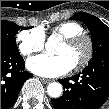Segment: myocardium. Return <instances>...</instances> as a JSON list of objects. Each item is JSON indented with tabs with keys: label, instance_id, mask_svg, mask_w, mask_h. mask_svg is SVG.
<instances>
[{
	"label": "myocardium",
	"instance_id": "1",
	"mask_svg": "<svg viewBox=\"0 0 109 109\" xmlns=\"http://www.w3.org/2000/svg\"><path fill=\"white\" fill-rule=\"evenodd\" d=\"M81 41H84L86 43L87 51L84 58L73 67L75 70L83 69L90 63L94 53L93 39L90 35L86 34L85 32L78 33L63 39V42L69 46L75 45Z\"/></svg>",
	"mask_w": 109,
	"mask_h": 109
}]
</instances>
